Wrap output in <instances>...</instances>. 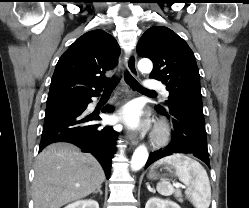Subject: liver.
Here are the masks:
<instances>
[{
  "label": "liver",
  "instance_id": "1",
  "mask_svg": "<svg viewBox=\"0 0 249 208\" xmlns=\"http://www.w3.org/2000/svg\"><path fill=\"white\" fill-rule=\"evenodd\" d=\"M105 180L99 162L71 143L47 146L37 157L34 208H60L96 191Z\"/></svg>",
  "mask_w": 249,
  "mask_h": 208
}]
</instances>
